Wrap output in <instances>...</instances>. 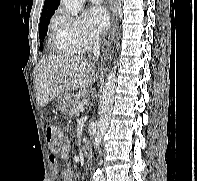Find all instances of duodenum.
<instances>
[{
  "mask_svg": "<svg viewBox=\"0 0 197 181\" xmlns=\"http://www.w3.org/2000/svg\"><path fill=\"white\" fill-rule=\"evenodd\" d=\"M92 147L90 145H88L85 149V156L87 159H91L92 158Z\"/></svg>",
  "mask_w": 197,
  "mask_h": 181,
  "instance_id": "410a0bca",
  "label": "duodenum"
}]
</instances>
